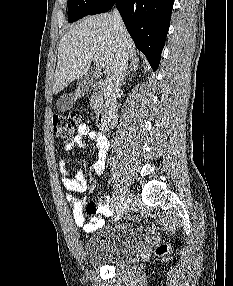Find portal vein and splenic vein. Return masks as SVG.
<instances>
[{
  "instance_id": "obj_1",
  "label": "portal vein and splenic vein",
  "mask_w": 233,
  "mask_h": 286,
  "mask_svg": "<svg viewBox=\"0 0 233 286\" xmlns=\"http://www.w3.org/2000/svg\"><path fill=\"white\" fill-rule=\"evenodd\" d=\"M95 60V62H96V65L98 66V67H105V63H104V60L103 59H101V58H95L94 59Z\"/></svg>"
}]
</instances>
